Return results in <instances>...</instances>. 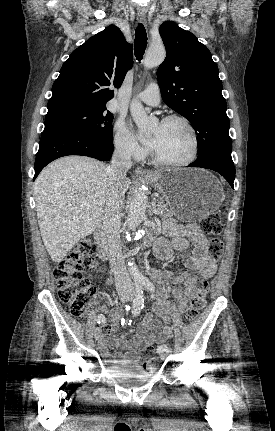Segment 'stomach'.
I'll return each instance as SVG.
<instances>
[{
    "mask_svg": "<svg viewBox=\"0 0 275 431\" xmlns=\"http://www.w3.org/2000/svg\"><path fill=\"white\" fill-rule=\"evenodd\" d=\"M147 180L162 194L174 215L184 222L211 214L220 207L224 197L220 182L203 169L163 170Z\"/></svg>",
    "mask_w": 275,
    "mask_h": 431,
    "instance_id": "0dacf381",
    "label": "stomach"
}]
</instances>
